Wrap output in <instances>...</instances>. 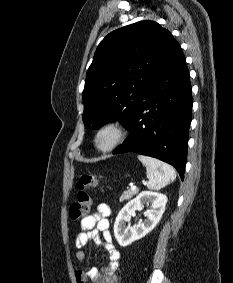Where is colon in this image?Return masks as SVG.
Wrapping results in <instances>:
<instances>
[{
  "label": "colon",
  "instance_id": "1",
  "mask_svg": "<svg viewBox=\"0 0 233 283\" xmlns=\"http://www.w3.org/2000/svg\"><path fill=\"white\" fill-rule=\"evenodd\" d=\"M98 185V179L92 175H82L77 183V200L70 207V217L82 220L89 215L92 206L90 190Z\"/></svg>",
  "mask_w": 233,
  "mask_h": 283
}]
</instances>
